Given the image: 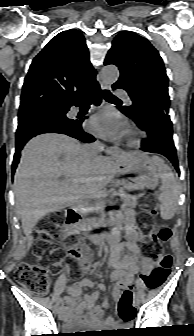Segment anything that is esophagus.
I'll return each mask as SVG.
<instances>
[{
    "mask_svg": "<svg viewBox=\"0 0 194 336\" xmlns=\"http://www.w3.org/2000/svg\"><path fill=\"white\" fill-rule=\"evenodd\" d=\"M100 86H101L102 90H105V89L109 88V86L107 84L102 83V82L100 83ZM108 153H109L110 157H112V158H116V157L124 154L122 149L119 148L118 146H111L108 150Z\"/></svg>",
    "mask_w": 194,
    "mask_h": 336,
    "instance_id": "34e87169",
    "label": "esophagus"
}]
</instances>
